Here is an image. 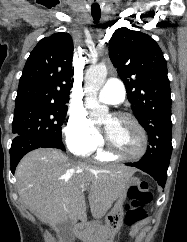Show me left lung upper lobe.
<instances>
[{
    "instance_id": "left-lung-upper-lobe-1",
    "label": "left lung upper lobe",
    "mask_w": 187,
    "mask_h": 242,
    "mask_svg": "<svg viewBox=\"0 0 187 242\" xmlns=\"http://www.w3.org/2000/svg\"><path fill=\"white\" fill-rule=\"evenodd\" d=\"M109 56L127 89V98L149 146L142 161L170 160L171 90L166 60L155 40L119 28L109 41Z\"/></svg>"
}]
</instances>
